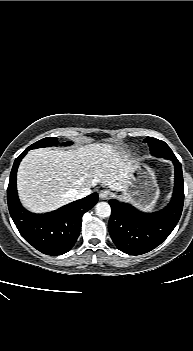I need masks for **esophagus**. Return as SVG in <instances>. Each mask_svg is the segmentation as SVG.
<instances>
[{
    "label": "esophagus",
    "instance_id": "34e87169",
    "mask_svg": "<svg viewBox=\"0 0 193 351\" xmlns=\"http://www.w3.org/2000/svg\"><path fill=\"white\" fill-rule=\"evenodd\" d=\"M110 195H111V192L107 189H103L99 193V197L102 200H107L110 197Z\"/></svg>",
    "mask_w": 193,
    "mask_h": 351
}]
</instances>
